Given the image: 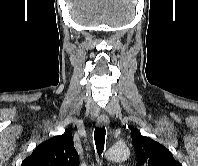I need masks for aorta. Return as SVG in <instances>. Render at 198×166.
Listing matches in <instances>:
<instances>
[{
	"label": "aorta",
	"instance_id": "762f6f07",
	"mask_svg": "<svg viewBox=\"0 0 198 166\" xmlns=\"http://www.w3.org/2000/svg\"><path fill=\"white\" fill-rule=\"evenodd\" d=\"M130 156V150L125 145H114L106 153V157L111 161L127 160Z\"/></svg>",
	"mask_w": 198,
	"mask_h": 166
}]
</instances>
